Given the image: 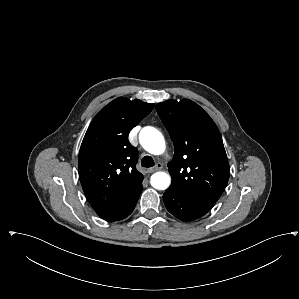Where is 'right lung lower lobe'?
Segmentation results:
<instances>
[{"instance_id": "obj_1", "label": "right lung lower lobe", "mask_w": 299, "mask_h": 299, "mask_svg": "<svg viewBox=\"0 0 299 299\" xmlns=\"http://www.w3.org/2000/svg\"><path fill=\"white\" fill-rule=\"evenodd\" d=\"M142 188L143 186L141 185L138 188V190L133 195H131L125 202H123L115 210H113L112 212L108 213L107 215L101 218L109 222H114L129 216L135 208V205L138 201Z\"/></svg>"}]
</instances>
